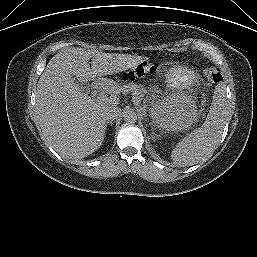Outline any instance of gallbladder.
Segmentation results:
<instances>
[{
	"instance_id": "bac80fb5",
	"label": "gallbladder",
	"mask_w": 257,
	"mask_h": 257,
	"mask_svg": "<svg viewBox=\"0 0 257 257\" xmlns=\"http://www.w3.org/2000/svg\"><path fill=\"white\" fill-rule=\"evenodd\" d=\"M72 78L74 79V81L79 85L80 88H82L83 90H87L88 89V84L85 81H80L76 76L72 75Z\"/></svg>"
}]
</instances>
